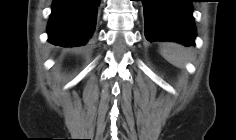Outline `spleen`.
<instances>
[{
  "label": "spleen",
  "instance_id": "3e777b00",
  "mask_svg": "<svg viewBox=\"0 0 236 140\" xmlns=\"http://www.w3.org/2000/svg\"><path fill=\"white\" fill-rule=\"evenodd\" d=\"M160 53L169 63L179 68L185 67L190 60V51L176 43H165Z\"/></svg>",
  "mask_w": 236,
  "mask_h": 140
}]
</instances>
